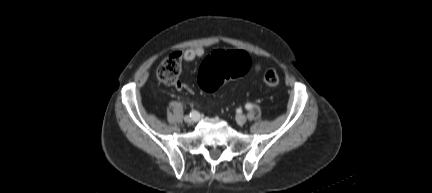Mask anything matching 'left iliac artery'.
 I'll return each instance as SVG.
<instances>
[{"instance_id":"1","label":"left iliac artery","mask_w":432,"mask_h":193,"mask_svg":"<svg viewBox=\"0 0 432 193\" xmlns=\"http://www.w3.org/2000/svg\"><path fill=\"white\" fill-rule=\"evenodd\" d=\"M252 107H253V105H252L251 103H247V104L245 105V108H246L247 110L252 109Z\"/></svg>"}]
</instances>
